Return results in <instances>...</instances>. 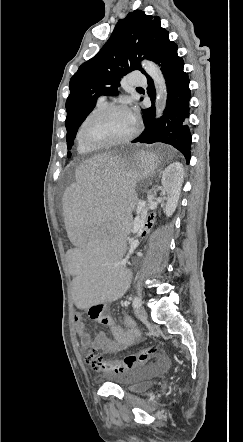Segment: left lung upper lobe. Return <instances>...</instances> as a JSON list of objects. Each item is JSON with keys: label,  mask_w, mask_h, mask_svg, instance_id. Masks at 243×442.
<instances>
[{"label": "left lung upper lobe", "mask_w": 243, "mask_h": 442, "mask_svg": "<svg viewBox=\"0 0 243 442\" xmlns=\"http://www.w3.org/2000/svg\"><path fill=\"white\" fill-rule=\"evenodd\" d=\"M169 33L158 16L135 10L118 21L111 37L72 76L66 101L67 147H72L79 126L95 107L100 95H117L121 78L133 70L145 73L142 59L153 60ZM70 157V153H68Z\"/></svg>", "instance_id": "obj_1"}]
</instances>
